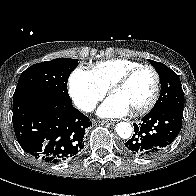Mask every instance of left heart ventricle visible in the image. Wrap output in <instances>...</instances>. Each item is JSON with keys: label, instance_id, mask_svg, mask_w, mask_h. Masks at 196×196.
<instances>
[{"label": "left heart ventricle", "instance_id": "1", "mask_svg": "<svg viewBox=\"0 0 196 196\" xmlns=\"http://www.w3.org/2000/svg\"><path fill=\"white\" fill-rule=\"evenodd\" d=\"M154 86L155 79L153 73L150 70L144 69L112 95L125 103L133 111L148 102L153 94Z\"/></svg>", "mask_w": 196, "mask_h": 196}]
</instances>
